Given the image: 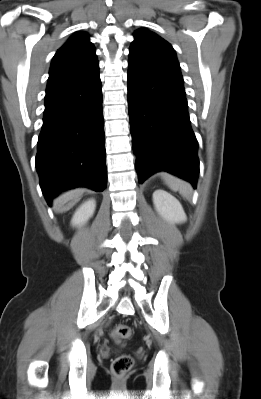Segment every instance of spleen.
Masks as SVG:
<instances>
[{"label": "spleen", "instance_id": "spleen-1", "mask_svg": "<svg viewBox=\"0 0 261 399\" xmlns=\"http://www.w3.org/2000/svg\"><path fill=\"white\" fill-rule=\"evenodd\" d=\"M163 177L167 185L173 191H179V193L185 198L190 197L192 190L191 186L188 183L169 174H164Z\"/></svg>", "mask_w": 261, "mask_h": 399}]
</instances>
